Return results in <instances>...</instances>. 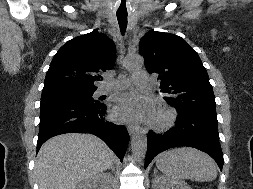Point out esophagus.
<instances>
[{
	"label": "esophagus",
	"instance_id": "1",
	"mask_svg": "<svg viewBox=\"0 0 253 189\" xmlns=\"http://www.w3.org/2000/svg\"><path fill=\"white\" fill-rule=\"evenodd\" d=\"M138 128L136 126H133V125H129L127 127V130L129 132L130 135H132Z\"/></svg>",
	"mask_w": 253,
	"mask_h": 189
}]
</instances>
